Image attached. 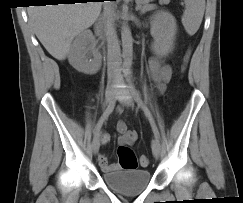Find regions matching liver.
<instances>
[{"mask_svg":"<svg viewBox=\"0 0 243 203\" xmlns=\"http://www.w3.org/2000/svg\"><path fill=\"white\" fill-rule=\"evenodd\" d=\"M101 7L102 2L30 6L28 16L45 49L54 58L63 60L73 38L98 19Z\"/></svg>","mask_w":243,"mask_h":203,"instance_id":"6515ba94","label":"liver"}]
</instances>
